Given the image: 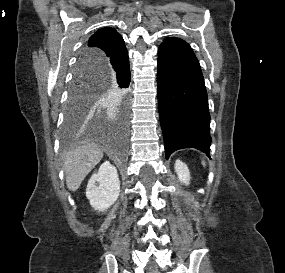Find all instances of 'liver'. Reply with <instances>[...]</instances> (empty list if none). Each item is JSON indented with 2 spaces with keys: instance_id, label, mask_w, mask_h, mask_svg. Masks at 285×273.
I'll use <instances>...</instances> for the list:
<instances>
[{
  "instance_id": "1",
  "label": "liver",
  "mask_w": 285,
  "mask_h": 273,
  "mask_svg": "<svg viewBox=\"0 0 285 273\" xmlns=\"http://www.w3.org/2000/svg\"><path fill=\"white\" fill-rule=\"evenodd\" d=\"M102 157V148L94 143H85L66 152L63 158V168L68 189L76 191Z\"/></svg>"
}]
</instances>
